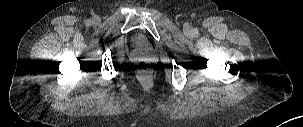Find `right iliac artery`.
Returning a JSON list of instances; mask_svg holds the SVG:
<instances>
[{
  "label": "right iliac artery",
  "instance_id": "obj_1",
  "mask_svg": "<svg viewBox=\"0 0 303 127\" xmlns=\"http://www.w3.org/2000/svg\"><path fill=\"white\" fill-rule=\"evenodd\" d=\"M85 23H86L87 26H89V25H91V20H86Z\"/></svg>",
  "mask_w": 303,
  "mask_h": 127
}]
</instances>
